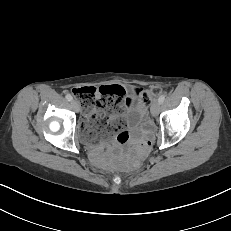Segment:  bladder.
<instances>
[{"label":"bladder","mask_w":231,"mask_h":231,"mask_svg":"<svg viewBox=\"0 0 231 231\" xmlns=\"http://www.w3.org/2000/svg\"><path fill=\"white\" fill-rule=\"evenodd\" d=\"M125 103L128 111L135 116L144 118L147 115V106L143 101L140 87L133 86L128 90ZM96 132V128L90 124H82L76 130L79 140L85 145L92 144L99 139Z\"/></svg>","instance_id":"bladder-1"}]
</instances>
